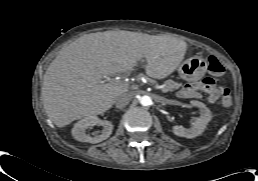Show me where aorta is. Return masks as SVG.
<instances>
[{
	"label": "aorta",
	"instance_id": "1",
	"mask_svg": "<svg viewBox=\"0 0 258 181\" xmlns=\"http://www.w3.org/2000/svg\"><path fill=\"white\" fill-rule=\"evenodd\" d=\"M139 102L142 106H149L152 103V99L151 97L144 95L140 98Z\"/></svg>",
	"mask_w": 258,
	"mask_h": 181
}]
</instances>
